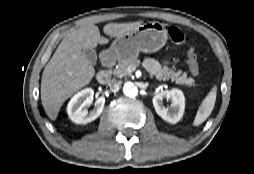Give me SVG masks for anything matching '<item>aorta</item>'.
<instances>
[{
    "mask_svg": "<svg viewBox=\"0 0 254 174\" xmlns=\"http://www.w3.org/2000/svg\"><path fill=\"white\" fill-rule=\"evenodd\" d=\"M123 93L128 97H136L138 95V88L131 82H128L123 87Z\"/></svg>",
    "mask_w": 254,
    "mask_h": 174,
    "instance_id": "1",
    "label": "aorta"
}]
</instances>
